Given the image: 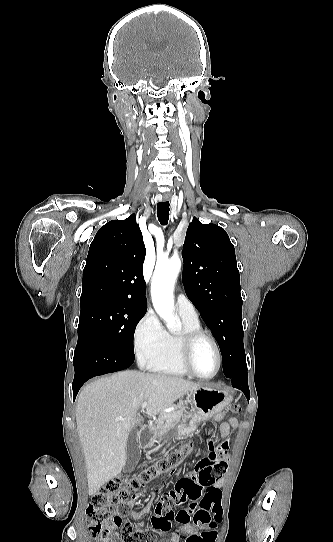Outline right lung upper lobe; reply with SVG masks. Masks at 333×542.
<instances>
[{
  "label": "right lung upper lobe",
  "mask_w": 333,
  "mask_h": 542,
  "mask_svg": "<svg viewBox=\"0 0 333 542\" xmlns=\"http://www.w3.org/2000/svg\"><path fill=\"white\" fill-rule=\"evenodd\" d=\"M145 254L135 214L102 226L90 245L83 270L81 305L99 301L147 309Z\"/></svg>",
  "instance_id": "obj_1"
}]
</instances>
